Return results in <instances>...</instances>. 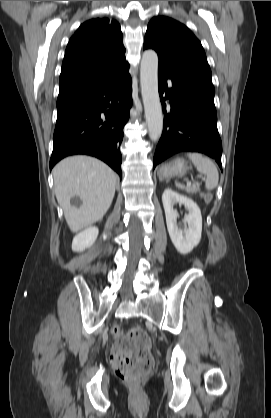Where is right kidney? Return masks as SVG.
<instances>
[{"mask_svg": "<svg viewBox=\"0 0 271 418\" xmlns=\"http://www.w3.org/2000/svg\"><path fill=\"white\" fill-rule=\"evenodd\" d=\"M99 234V229L95 226L89 227L78 233L72 242V250L75 252H82L91 247L96 241Z\"/></svg>", "mask_w": 271, "mask_h": 418, "instance_id": "right-kidney-1", "label": "right kidney"}]
</instances>
